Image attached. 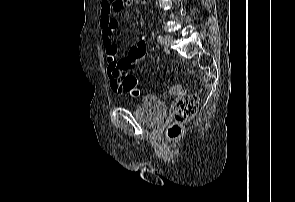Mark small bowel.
Masks as SVG:
<instances>
[{"label": "small bowel", "mask_w": 295, "mask_h": 202, "mask_svg": "<svg viewBox=\"0 0 295 202\" xmlns=\"http://www.w3.org/2000/svg\"><path fill=\"white\" fill-rule=\"evenodd\" d=\"M116 8L111 0L101 1L100 27L102 31L101 40L107 54L108 77L110 86L115 92H122V75L131 70L135 65L147 60L148 43L144 37L128 48L127 52L120 56L117 50L115 35L118 32V22L114 13L121 10Z\"/></svg>", "instance_id": "c3829d8e"}]
</instances>
